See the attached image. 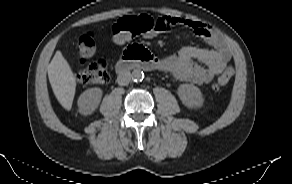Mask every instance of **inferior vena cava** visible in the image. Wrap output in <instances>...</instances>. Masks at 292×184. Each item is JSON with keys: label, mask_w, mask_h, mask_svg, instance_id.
Here are the masks:
<instances>
[{"label": "inferior vena cava", "mask_w": 292, "mask_h": 184, "mask_svg": "<svg viewBox=\"0 0 292 184\" xmlns=\"http://www.w3.org/2000/svg\"><path fill=\"white\" fill-rule=\"evenodd\" d=\"M130 80H131V73L129 71H123L117 77V82L121 86L128 85Z\"/></svg>", "instance_id": "1"}]
</instances>
